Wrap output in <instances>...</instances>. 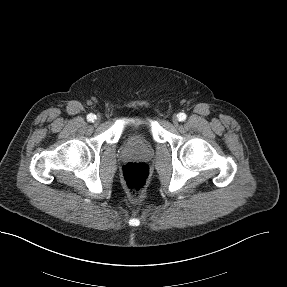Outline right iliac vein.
<instances>
[{
	"label": "right iliac vein",
	"mask_w": 287,
	"mask_h": 287,
	"mask_svg": "<svg viewBox=\"0 0 287 287\" xmlns=\"http://www.w3.org/2000/svg\"><path fill=\"white\" fill-rule=\"evenodd\" d=\"M100 121H101V118L98 116V117L95 119V124H96V125L99 124Z\"/></svg>",
	"instance_id": "obj_1"
}]
</instances>
